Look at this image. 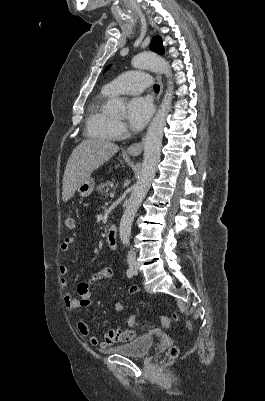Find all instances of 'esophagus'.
Returning a JSON list of instances; mask_svg holds the SVG:
<instances>
[{"instance_id":"34e87169","label":"esophagus","mask_w":265,"mask_h":401,"mask_svg":"<svg viewBox=\"0 0 265 401\" xmlns=\"http://www.w3.org/2000/svg\"><path fill=\"white\" fill-rule=\"evenodd\" d=\"M157 81L159 83L160 86V91L158 93V96L156 97V100L154 102L155 107H157L160 96L162 94V89H163V83H162V79L160 75L156 76ZM128 153L132 156H138L142 153L143 151V141L137 142V143H133V145H130L127 149Z\"/></svg>"}]
</instances>
